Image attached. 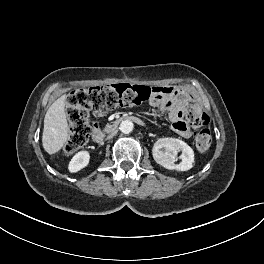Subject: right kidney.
Here are the masks:
<instances>
[{
  "mask_svg": "<svg viewBox=\"0 0 264 264\" xmlns=\"http://www.w3.org/2000/svg\"><path fill=\"white\" fill-rule=\"evenodd\" d=\"M90 161V154L88 151H80L76 153L68 165V170L71 173H76L85 168Z\"/></svg>",
  "mask_w": 264,
  "mask_h": 264,
  "instance_id": "ca27d5eb",
  "label": "right kidney"
}]
</instances>
